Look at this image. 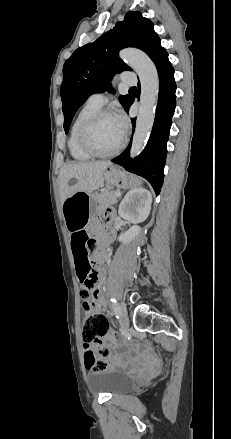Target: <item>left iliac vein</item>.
<instances>
[{"instance_id":"left-iliac-vein-1","label":"left iliac vein","mask_w":231,"mask_h":439,"mask_svg":"<svg viewBox=\"0 0 231 439\" xmlns=\"http://www.w3.org/2000/svg\"><path fill=\"white\" fill-rule=\"evenodd\" d=\"M118 316H119V322L123 328H128L129 326V319L127 310L125 307H120L118 310Z\"/></svg>"}]
</instances>
